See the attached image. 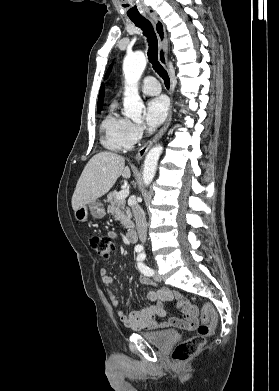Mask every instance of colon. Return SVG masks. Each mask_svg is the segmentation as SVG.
<instances>
[{"mask_svg":"<svg viewBox=\"0 0 279 391\" xmlns=\"http://www.w3.org/2000/svg\"><path fill=\"white\" fill-rule=\"evenodd\" d=\"M88 244L102 259H108L115 250L114 240L106 235L97 233L90 234L88 236ZM217 321L218 314L214 306L210 303L204 304L201 311V324L198 327L197 335L179 343L173 351V359L177 362L190 360L204 346L206 338L214 332Z\"/></svg>","mask_w":279,"mask_h":391,"instance_id":"obj_1","label":"colon"}]
</instances>
